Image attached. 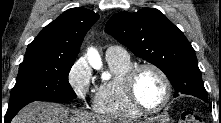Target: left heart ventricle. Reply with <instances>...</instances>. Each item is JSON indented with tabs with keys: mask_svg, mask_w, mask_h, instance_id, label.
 <instances>
[{
	"mask_svg": "<svg viewBox=\"0 0 221 123\" xmlns=\"http://www.w3.org/2000/svg\"><path fill=\"white\" fill-rule=\"evenodd\" d=\"M135 90L139 101L148 108L157 107L165 97V87L162 79L150 69L142 70L138 74Z\"/></svg>",
	"mask_w": 221,
	"mask_h": 123,
	"instance_id": "b2bd125f",
	"label": "left heart ventricle"
}]
</instances>
